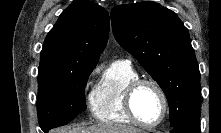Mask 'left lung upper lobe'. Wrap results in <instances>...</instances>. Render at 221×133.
<instances>
[{"mask_svg": "<svg viewBox=\"0 0 221 133\" xmlns=\"http://www.w3.org/2000/svg\"><path fill=\"white\" fill-rule=\"evenodd\" d=\"M115 38L165 92L173 128L200 120V72L189 32L178 16L155 2L111 11Z\"/></svg>", "mask_w": 221, "mask_h": 133, "instance_id": "left-lung-upper-lobe-1", "label": "left lung upper lobe"}]
</instances>
